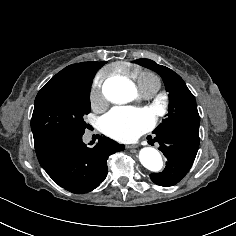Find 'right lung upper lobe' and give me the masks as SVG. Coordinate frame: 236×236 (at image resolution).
<instances>
[{
	"mask_svg": "<svg viewBox=\"0 0 236 236\" xmlns=\"http://www.w3.org/2000/svg\"><path fill=\"white\" fill-rule=\"evenodd\" d=\"M105 63L107 62L89 61L69 65L57 73L48 84H73L92 81L97 70H99Z\"/></svg>",
	"mask_w": 236,
	"mask_h": 236,
	"instance_id": "1",
	"label": "right lung upper lobe"
}]
</instances>
